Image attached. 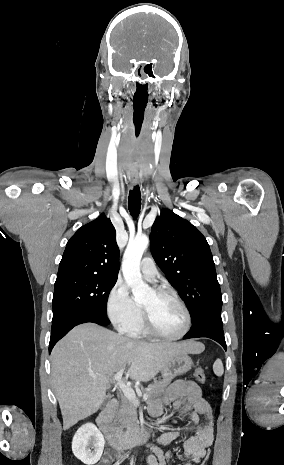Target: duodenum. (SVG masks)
<instances>
[{"label": "duodenum", "instance_id": "duodenum-1", "mask_svg": "<svg viewBox=\"0 0 284 465\" xmlns=\"http://www.w3.org/2000/svg\"><path fill=\"white\" fill-rule=\"evenodd\" d=\"M117 401L109 400L100 410L96 418V425L103 433L109 444L116 450H123L135 443L145 441L148 437L147 431L136 428L128 433L119 432L111 422V414L116 408Z\"/></svg>", "mask_w": 284, "mask_h": 465}]
</instances>
